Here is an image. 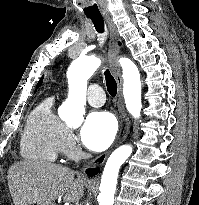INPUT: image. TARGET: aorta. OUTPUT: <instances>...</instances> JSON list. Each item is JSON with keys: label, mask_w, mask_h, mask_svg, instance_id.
Wrapping results in <instances>:
<instances>
[{"label": "aorta", "mask_w": 199, "mask_h": 205, "mask_svg": "<svg viewBox=\"0 0 199 205\" xmlns=\"http://www.w3.org/2000/svg\"><path fill=\"white\" fill-rule=\"evenodd\" d=\"M119 62L123 70V95L126 108L133 117L139 118L142 108L139 70L128 58H121ZM100 64L101 60L95 56H80L73 60L68 68L69 93L63 109L72 124H80L83 121L87 81ZM131 154L132 147L123 145L108 158L100 183L99 205H113L119 169Z\"/></svg>", "instance_id": "obj_1"}]
</instances>
